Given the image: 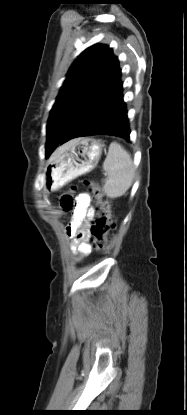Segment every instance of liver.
Instances as JSON below:
<instances>
[{
	"mask_svg": "<svg viewBox=\"0 0 187 415\" xmlns=\"http://www.w3.org/2000/svg\"><path fill=\"white\" fill-rule=\"evenodd\" d=\"M72 144V141L64 144L63 146L59 147L55 150V152L51 156V160L55 159L57 156H59L61 153H63L65 150H67Z\"/></svg>",
	"mask_w": 187,
	"mask_h": 415,
	"instance_id": "obj_1",
	"label": "liver"
}]
</instances>
